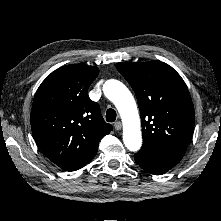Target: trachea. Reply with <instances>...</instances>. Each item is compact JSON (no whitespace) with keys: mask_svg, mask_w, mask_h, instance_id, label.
I'll use <instances>...</instances> for the list:
<instances>
[{"mask_svg":"<svg viewBox=\"0 0 221 221\" xmlns=\"http://www.w3.org/2000/svg\"><path fill=\"white\" fill-rule=\"evenodd\" d=\"M107 122H114L116 120V111L114 109H108L106 112Z\"/></svg>","mask_w":221,"mask_h":221,"instance_id":"trachea-1","label":"trachea"}]
</instances>
